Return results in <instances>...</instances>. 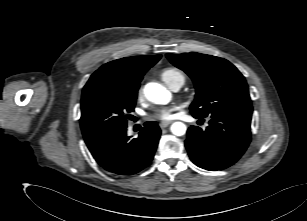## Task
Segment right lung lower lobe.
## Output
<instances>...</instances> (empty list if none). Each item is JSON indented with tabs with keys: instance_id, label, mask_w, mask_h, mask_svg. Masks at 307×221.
<instances>
[{
	"instance_id": "98d812e1",
	"label": "right lung lower lobe",
	"mask_w": 307,
	"mask_h": 221,
	"mask_svg": "<svg viewBox=\"0 0 307 221\" xmlns=\"http://www.w3.org/2000/svg\"><path fill=\"white\" fill-rule=\"evenodd\" d=\"M127 129H119L88 146L97 163L120 176L133 175L151 164L161 130L154 121L145 123L138 138L130 139Z\"/></svg>"
}]
</instances>
